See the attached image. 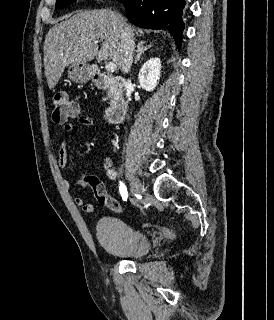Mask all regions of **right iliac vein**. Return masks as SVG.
<instances>
[{"instance_id": "right-iliac-vein-1", "label": "right iliac vein", "mask_w": 274, "mask_h": 320, "mask_svg": "<svg viewBox=\"0 0 274 320\" xmlns=\"http://www.w3.org/2000/svg\"><path fill=\"white\" fill-rule=\"evenodd\" d=\"M132 188L138 195H142L145 193L144 187L142 186L140 181L135 177L132 178ZM136 202H138V200H136Z\"/></svg>"}]
</instances>
